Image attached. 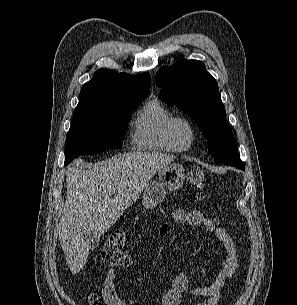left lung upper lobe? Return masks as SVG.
Wrapping results in <instances>:
<instances>
[{"instance_id": "obj_1", "label": "left lung upper lobe", "mask_w": 297, "mask_h": 305, "mask_svg": "<svg viewBox=\"0 0 297 305\" xmlns=\"http://www.w3.org/2000/svg\"><path fill=\"white\" fill-rule=\"evenodd\" d=\"M156 84L163 87L160 99L196 121L216 163L244 170L217 82L201 61L180 60L172 67H162L156 75Z\"/></svg>"}]
</instances>
